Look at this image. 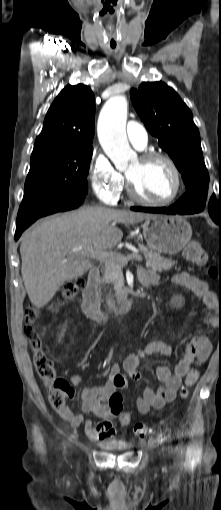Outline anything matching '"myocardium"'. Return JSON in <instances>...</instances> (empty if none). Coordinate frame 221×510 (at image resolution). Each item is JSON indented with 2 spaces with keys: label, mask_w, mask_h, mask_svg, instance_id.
Returning <instances> with one entry per match:
<instances>
[{
  "label": "myocardium",
  "mask_w": 221,
  "mask_h": 510,
  "mask_svg": "<svg viewBox=\"0 0 221 510\" xmlns=\"http://www.w3.org/2000/svg\"><path fill=\"white\" fill-rule=\"evenodd\" d=\"M139 160L141 162L147 163L153 160H162L166 162L169 167L171 168L174 178H175V188L173 193L164 200H149L146 198H143L139 195L133 181L127 176V187H128V194L129 197L136 203L150 206V207H164L172 204L174 201L177 200V198L180 196L182 189H183V179L182 174L177 166L176 162L167 154L161 153V152H145L140 157Z\"/></svg>",
  "instance_id": "1"
}]
</instances>
